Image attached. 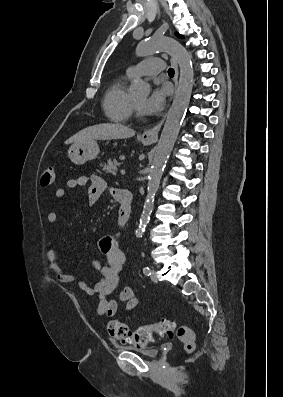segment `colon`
Returning <instances> with one entry per match:
<instances>
[{
	"label": "colon",
	"instance_id": "colon-1",
	"mask_svg": "<svg viewBox=\"0 0 283 397\" xmlns=\"http://www.w3.org/2000/svg\"><path fill=\"white\" fill-rule=\"evenodd\" d=\"M55 182V169L48 166L43 169L40 183L43 187L53 185ZM175 322L172 319H163L150 325L138 327L131 330L125 323L120 321H110L107 325L108 332L114 339L130 343L136 347H144L151 343L155 337L172 338L175 334ZM177 337L184 343L187 352H191L195 347V336L192 330L186 326H181L176 331Z\"/></svg>",
	"mask_w": 283,
	"mask_h": 397
}]
</instances>
